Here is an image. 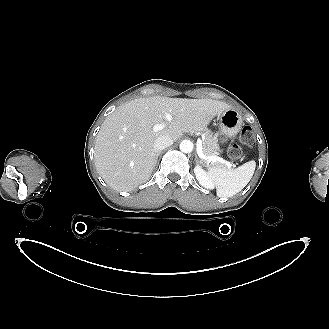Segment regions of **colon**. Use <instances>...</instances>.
Segmentation results:
<instances>
[{
  "mask_svg": "<svg viewBox=\"0 0 329 329\" xmlns=\"http://www.w3.org/2000/svg\"><path fill=\"white\" fill-rule=\"evenodd\" d=\"M240 141L248 146H251L255 142V137L252 129L248 126L244 127L240 133ZM229 156L233 159L240 158L242 152L239 146L232 145L228 150Z\"/></svg>",
  "mask_w": 329,
  "mask_h": 329,
  "instance_id": "1",
  "label": "colon"
}]
</instances>
